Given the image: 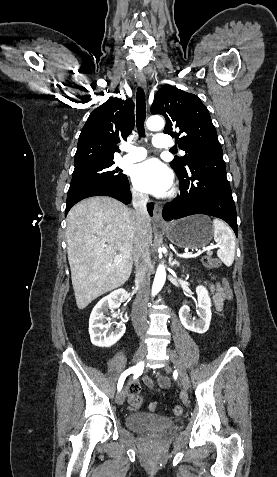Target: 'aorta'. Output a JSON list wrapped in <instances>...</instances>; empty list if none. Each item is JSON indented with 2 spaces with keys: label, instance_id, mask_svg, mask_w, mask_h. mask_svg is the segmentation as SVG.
I'll return each mask as SVG.
<instances>
[{
  "label": "aorta",
  "instance_id": "aorta-1",
  "mask_svg": "<svg viewBox=\"0 0 277 477\" xmlns=\"http://www.w3.org/2000/svg\"><path fill=\"white\" fill-rule=\"evenodd\" d=\"M165 125L164 120L160 116H151L146 123L149 130H161ZM166 280V270L163 264L159 265L155 274L152 286V295H156L163 287Z\"/></svg>",
  "mask_w": 277,
  "mask_h": 477
}]
</instances>
